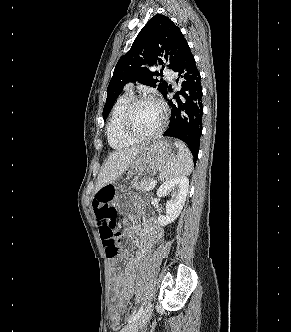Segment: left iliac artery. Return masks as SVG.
<instances>
[{"instance_id":"44dca946","label":"left iliac artery","mask_w":291,"mask_h":332,"mask_svg":"<svg viewBox=\"0 0 291 332\" xmlns=\"http://www.w3.org/2000/svg\"><path fill=\"white\" fill-rule=\"evenodd\" d=\"M143 313V306L140 307V309L135 313L133 314L128 320L127 322L128 323H131L133 322L134 320H136L138 317H140V315Z\"/></svg>"}]
</instances>
